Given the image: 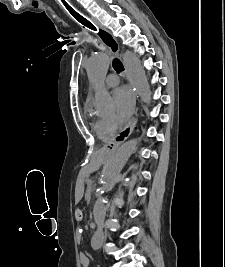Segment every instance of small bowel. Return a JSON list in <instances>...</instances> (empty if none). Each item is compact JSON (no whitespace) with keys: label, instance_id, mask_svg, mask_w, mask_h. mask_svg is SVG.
I'll return each instance as SVG.
<instances>
[{"label":"small bowel","instance_id":"small-bowel-1","mask_svg":"<svg viewBox=\"0 0 225 267\" xmlns=\"http://www.w3.org/2000/svg\"><path fill=\"white\" fill-rule=\"evenodd\" d=\"M79 259H80V263H81L82 267H88L89 266L88 257L84 253L80 254Z\"/></svg>","mask_w":225,"mask_h":267}]
</instances>
